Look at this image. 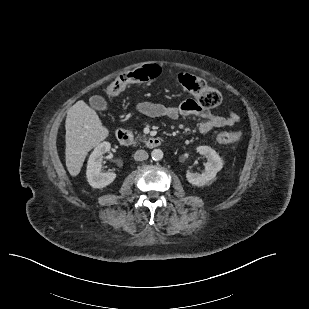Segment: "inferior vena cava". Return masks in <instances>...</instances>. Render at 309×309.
Wrapping results in <instances>:
<instances>
[{
    "instance_id": "602c4592",
    "label": "inferior vena cava",
    "mask_w": 309,
    "mask_h": 309,
    "mask_svg": "<svg viewBox=\"0 0 309 309\" xmlns=\"http://www.w3.org/2000/svg\"><path fill=\"white\" fill-rule=\"evenodd\" d=\"M148 157H149V155L145 150H137L134 153V159L136 161H144V160H147Z\"/></svg>"
}]
</instances>
